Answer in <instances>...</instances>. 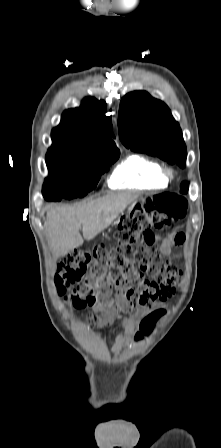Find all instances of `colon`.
Here are the masks:
<instances>
[{"label": "colon", "instance_id": "5ec220e1", "mask_svg": "<svg viewBox=\"0 0 221 448\" xmlns=\"http://www.w3.org/2000/svg\"><path fill=\"white\" fill-rule=\"evenodd\" d=\"M144 211L138 206L129 218L120 220L117 246L75 250L62 261L55 285L73 307L93 306L100 291L113 285L123 289L132 306L143 309H151L157 302L176 295L182 272L158 251L155 229L182 220L187 201L177 194L161 193L146 199ZM126 253L133 255L138 266ZM75 282L77 286L69 290ZM158 313L143 320L141 332L151 328Z\"/></svg>", "mask_w": 221, "mask_h": 448}]
</instances>
